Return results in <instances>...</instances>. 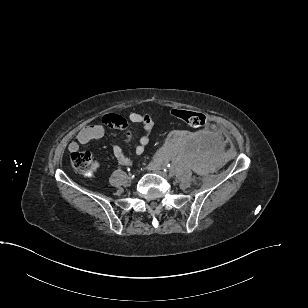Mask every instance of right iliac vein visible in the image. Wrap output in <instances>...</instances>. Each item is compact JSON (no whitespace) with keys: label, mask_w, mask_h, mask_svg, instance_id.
Instances as JSON below:
<instances>
[{"label":"right iliac vein","mask_w":308,"mask_h":308,"mask_svg":"<svg viewBox=\"0 0 308 308\" xmlns=\"http://www.w3.org/2000/svg\"><path fill=\"white\" fill-rule=\"evenodd\" d=\"M129 179H131L132 177H131V175H129V177H128Z\"/></svg>","instance_id":"1"}]
</instances>
